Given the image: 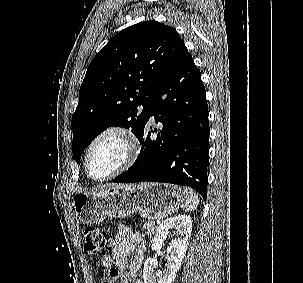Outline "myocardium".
I'll use <instances>...</instances> for the list:
<instances>
[{
    "label": "myocardium",
    "mask_w": 303,
    "mask_h": 283,
    "mask_svg": "<svg viewBox=\"0 0 303 283\" xmlns=\"http://www.w3.org/2000/svg\"><path fill=\"white\" fill-rule=\"evenodd\" d=\"M107 136H118L120 137L126 146V155L124 161L109 175L102 177V178H96L93 177L88 169V161L90 157V153L94 146L103 138ZM140 151V144L139 140L134 134V132L125 126L121 125H110L103 130H101L98 134L94 136V138L90 141L88 144L85 154H84V170L86 175L89 179L95 182H105L108 180H111L120 174L124 173L128 169H130L134 163L136 162L138 155Z\"/></svg>",
    "instance_id": "1"
}]
</instances>
